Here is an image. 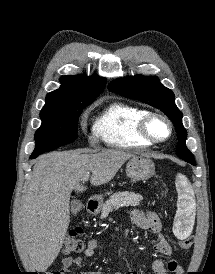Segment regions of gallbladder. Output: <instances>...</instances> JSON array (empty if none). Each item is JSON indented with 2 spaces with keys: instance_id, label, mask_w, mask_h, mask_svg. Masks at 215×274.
Wrapping results in <instances>:
<instances>
[{
  "instance_id": "bac80fb5",
  "label": "gallbladder",
  "mask_w": 215,
  "mask_h": 274,
  "mask_svg": "<svg viewBox=\"0 0 215 274\" xmlns=\"http://www.w3.org/2000/svg\"><path fill=\"white\" fill-rule=\"evenodd\" d=\"M82 207H83V204L79 200H73L71 202V212L74 215H76L77 213H79L81 211Z\"/></svg>"
}]
</instances>
